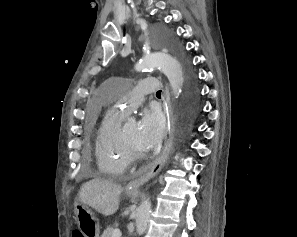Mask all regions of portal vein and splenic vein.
Here are the masks:
<instances>
[{
	"label": "portal vein and splenic vein",
	"instance_id": "1",
	"mask_svg": "<svg viewBox=\"0 0 297 237\" xmlns=\"http://www.w3.org/2000/svg\"><path fill=\"white\" fill-rule=\"evenodd\" d=\"M121 231L119 229H115L112 233V237H121Z\"/></svg>",
	"mask_w": 297,
	"mask_h": 237
}]
</instances>
